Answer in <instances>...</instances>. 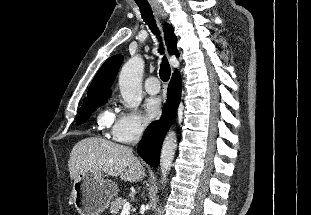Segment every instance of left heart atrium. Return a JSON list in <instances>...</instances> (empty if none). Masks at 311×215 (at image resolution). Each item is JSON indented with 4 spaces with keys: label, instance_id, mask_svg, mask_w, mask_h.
Segmentation results:
<instances>
[{
    "label": "left heart atrium",
    "instance_id": "left-heart-atrium-1",
    "mask_svg": "<svg viewBox=\"0 0 311 215\" xmlns=\"http://www.w3.org/2000/svg\"><path fill=\"white\" fill-rule=\"evenodd\" d=\"M161 113V101L157 97H150L144 104V121L149 123Z\"/></svg>",
    "mask_w": 311,
    "mask_h": 215
}]
</instances>
